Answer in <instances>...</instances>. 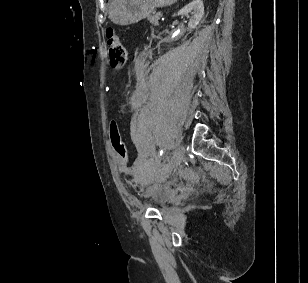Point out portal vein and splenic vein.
<instances>
[{
	"instance_id": "1",
	"label": "portal vein and splenic vein",
	"mask_w": 308,
	"mask_h": 283,
	"mask_svg": "<svg viewBox=\"0 0 308 283\" xmlns=\"http://www.w3.org/2000/svg\"><path fill=\"white\" fill-rule=\"evenodd\" d=\"M158 14H159L160 17L162 16V13H161V12H159Z\"/></svg>"
}]
</instances>
